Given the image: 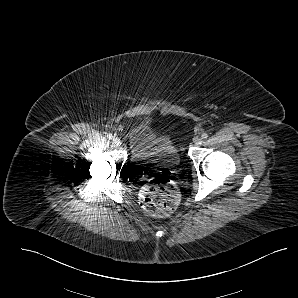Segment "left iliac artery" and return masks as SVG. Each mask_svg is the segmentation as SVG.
Instances as JSON below:
<instances>
[{
    "instance_id": "left-iliac-artery-1",
    "label": "left iliac artery",
    "mask_w": 298,
    "mask_h": 298,
    "mask_svg": "<svg viewBox=\"0 0 298 298\" xmlns=\"http://www.w3.org/2000/svg\"><path fill=\"white\" fill-rule=\"evenodd\" d=\"M207 137H208V134H207V133H203V134H202V138H203V139H206Z\"/></svg>"
}]
</instances>
